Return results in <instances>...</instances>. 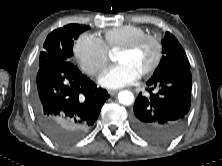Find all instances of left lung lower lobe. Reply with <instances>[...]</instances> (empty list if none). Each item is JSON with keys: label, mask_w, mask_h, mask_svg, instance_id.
Returning <instances> with one entry per match:
<instances>
[{"label": "left lung lower lobe", "mask_w": 222, "mask_h": 166, "mask_svg": "<svg viewBox=\"0 0 222 166\" xmlns=\"http://www.w3.org/2000/svg\"><path fill=\"white\" fill-rule=\"evenodd\" d=\"M148 94L139 93L134 104L132 126L138 135L155 144H165L182 131L191 105L190 70L153 76Z\"/></svg>", "instance_id": "obj_1"}]
</instances>
